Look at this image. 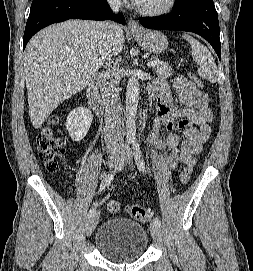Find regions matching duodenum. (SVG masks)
Here are the masks:
<instances>
[{
	"label": "duodenum",
	"instance_id": "410a0bca",
	"mask_svg": "<svg viewBox=\"0 0 253 271\" xmlns=\"http://www.w3.org/2000/svg\"><path fill=\"white\" fill-rule=\"evenodd\" d=\"M87 98L90 107L101 117L105 115L103 102L99 95V79L92 80L87 88Z\"/></svg>",
	"mask_w": 253,
	"mask_h": 271
}]
</instances>
